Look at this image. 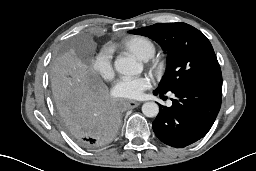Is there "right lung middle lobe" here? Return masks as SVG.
<instances>
[{
  "instance_id": "dd1d6c3e",
  "label": "right lung middle lobe",
  "mask_w": 256,
  "mask_h": 171,
  "mask_svg": "<svg viewBox=\"0 0 256 171\" xmlns=\"http://www.w3.org/2000/svg\"><path fill=\"white\" fill-rule=\"evenodd\" d=\"M50 81L55 105L63 102L82 89L66 57L54 59L50 69Z\"/></svg>"
}]
</instances>
